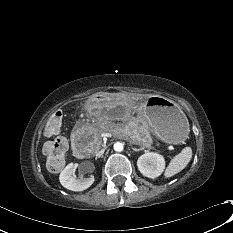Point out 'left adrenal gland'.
Returning <instances> with one entry per match:
<instances>
[{
  "mask_svg": "<svg viewBox=\"0 0 233 233\" xmlns=\"http://www.w3.org/2000/svg\"><path fill=\"white\" fill-rule=\"evenodd\" d=\"M132 150L138 152V151L144 150V148H139V149H137V148L132 147Z\"/></svg>",
  "mask_w": 233,
  "mask_h": 233,
  "instance_id": "1",
  "label": "left adrenal gland"
}]
</instances>
